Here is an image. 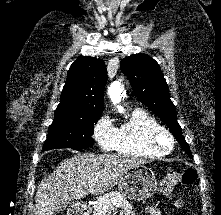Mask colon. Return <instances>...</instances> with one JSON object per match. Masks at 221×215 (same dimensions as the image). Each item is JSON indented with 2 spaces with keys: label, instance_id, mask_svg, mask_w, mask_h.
Masks as SVG:
<instances>
[{
  "label": "colon",
  "instance_id": "5ec220e1",
  "mask_svg": "<svg viewBox=\"0 0 221 215\" xmlns=\"http://www.w3.org/2000/svg\"><path fill=\"white\" fill-rule=\"evenodd\" d=\"M196 178V171L192 168H185L182 171H169L161 181L160 190L164 195L173 197L177 187L192 184ZM176 204L181 206L182 201L177 199Z\"/></svg>",
  "mask_w": 221,
  "mask_h": 215
}]
</instances>
